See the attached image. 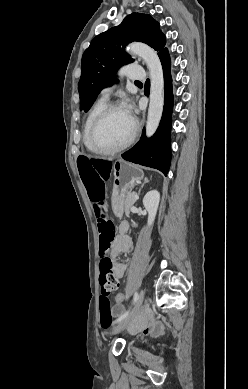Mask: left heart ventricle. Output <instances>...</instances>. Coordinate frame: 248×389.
Here are the masks:
<instances>
[{"label": "left heart ventricle", "mask_w": 248, "mask_h": 389, "mask_svg": "<svg viewBox=\"0 0 248 389\" xmlns=\"http://www.w3.org/2000/svg\"><path fill=\"white\" fill-rule=\"evenodd\" d=\"M133 120L122 109L109 113L97 130L96 139L103 147H115L124 143L133 132Z\"/></svg>", "instance_id": "obj_1"}]
</instances>
